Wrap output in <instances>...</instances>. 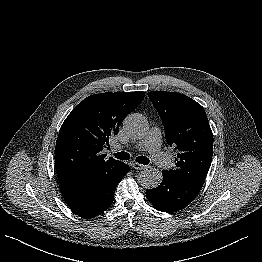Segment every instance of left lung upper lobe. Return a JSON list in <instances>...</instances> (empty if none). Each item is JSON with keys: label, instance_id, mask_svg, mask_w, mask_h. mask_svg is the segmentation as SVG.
I'll use <instances>...</instances> for the list:
<instances>
[{"label": "left lung upper lobe", "instance_id": "1", "mask_svg": "<svg viewBox=\"0 0 262 262\" xmlns=\"http://www.w3.org/2000/svg\"><path fill=\"white\" fill-rule=\"evenodd\" d=\"M158 111L169 146L176 150L170 176L202 187L211 165L213 134L204 108L193 99L176 92L148 93Z\"/></svg>", "mask_w": 262, "mask_h": 262}]
</instances>
